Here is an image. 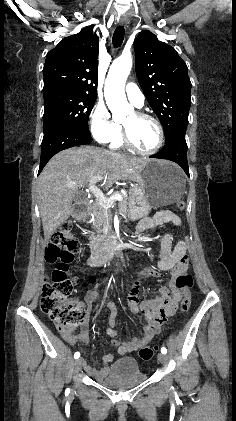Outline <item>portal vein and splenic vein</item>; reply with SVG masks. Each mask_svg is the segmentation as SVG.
Here are the masks:
<instances>
[{
  "mask_svg": "<svg viewBox=\"0 0 236 421\" xmlns=\"http://www.w3.org/2000/svg\"><path fill=\"white\" fill-rule=\"evenodd\" d=\"M104 176H93L89 182V190H91L92 194L96 196V200H98L99 204L101 206H106V208H109V206H112V198H115V200H123L122 194H113L111 198H106L104 196L102 190L96 186V182H99V180H103ZM66 186H71V188H77L76 184H66Z\"/></svg>",
  "mask_w": 236,
  "mask_h": 421,
  "instance_id": "portal-vein-and-splenic-vein-1",
  "label": "portal vein and splenic vein"
}]
</instances>
